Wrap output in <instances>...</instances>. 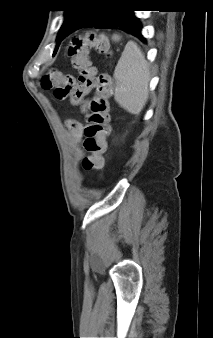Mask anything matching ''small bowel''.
Instances as JSON below:
<instances>
[{
    "mask_svg": "<svg viewBox=\"0 0 213 338\" xmlns=\"http://www.w3.org/2000/svg\"><path fill=\"white\" fill-rule=\"evenodd\" d=\"M81 112L86 114L89 111L88 108V101H85L82 105H81ZM83 125L81 123H77V126L74 128H71L70 130V134L71 137L73 139V141L80 147H82L83 144Z\"/></svg>",
    "mask_w": 213,
    "mask_h": 338,
    "instance_id": "1",
    "label": "small bowel"
}]
</instances>
